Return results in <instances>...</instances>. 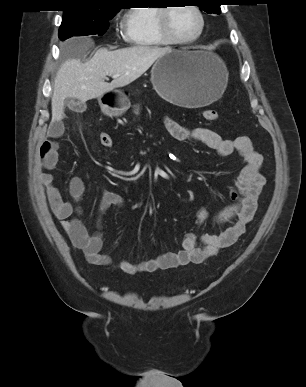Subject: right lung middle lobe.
<instances>
[{"instance_id":"right-lung-middle-lobe-1","label":"right lung middle lobe","mask_w":306,"mask_h":387,"mask_svg":"<svg viewBox=\"0 0 306 387\" xmlns=\"http://www.w3.org/2000/svg\"><path fill=\"white\" fill-rule=\"evenodd\" d=\"M116 11H106L95 14H64L59 29V38L65 40L72 36L94 35L102 36L109 27Z\"/></svg>"}]
</instances>
